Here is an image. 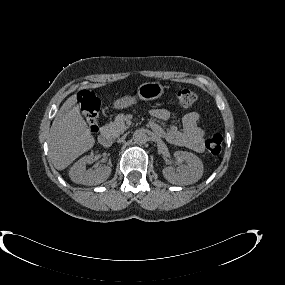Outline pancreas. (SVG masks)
I'll use <instances>...</instances> for the list:
<instances>
[{
    "label": "pancreas",
    "mask_w": 285,
    "mask_h": 285,
    "mask_svg": "<svg viewBox=\"0 0 285 285\" xmlns=\"http://www.w3.org/2000/svg\"><path fill=\"white\" fill-rule=\"evenodd\" d=\"M128 127L125 125V115L118 114L113 122L104 126V130L110 134L113 138L118 137Z\"/></svg>",
    "instance_id": "obj_1"
}]
</instances>
